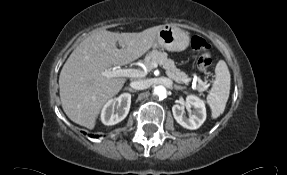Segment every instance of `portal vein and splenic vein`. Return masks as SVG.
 Masks as SVG:
<instances>
[{"label":"portal vein and splenic vein","mask_w":287,"mask_h":175,"mask_svg":"<svg viewBox=\"0 0 287 175\" xmlns=\"http://www.w3.org/2000/svg\"><path fill=\"white\" fill-rule=\"evenodd\" d=\"M158 64L154 63L152 68H157ZM104 76L108 78L112 77H144L146 76V72L139 69H113V70H106L103 73ZM196 81V80H195ZM200 84L203 83L202 80L198 81ZM195 85V84H193Z\"/></svg>","instance_id":"18ae733b"}]
</instances>
